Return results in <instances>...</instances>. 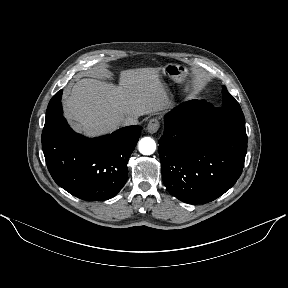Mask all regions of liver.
Here are the masks:
<instances>
[{
    "label": "liver",
    "mask_w": 288,
    "mask_h": 288,
    "mask_svg": "<svg viewBox=\"0 0 288 288\" xmlns=\"http://www.w3.org/2000/svg\"><path fill=\"white\" fill-rule=\"evenodd\" d=\"M119 79V85H115L84 78L65 95L63 105L78 130L99 136L123 126L127 117L137 118L170 107L159 68L124 70Z\"/></svg>",
    "instance_id": "6515ba94"
}]
</instances>
